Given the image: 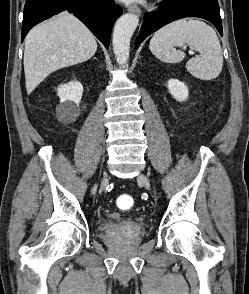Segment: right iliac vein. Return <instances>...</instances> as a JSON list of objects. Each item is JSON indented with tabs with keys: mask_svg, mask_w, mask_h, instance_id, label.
I'll list each match as a JSON object with an SVG mask.
<instances>
[{
	"mask_svg": "<svg viewBox=\"0 0 249 294\" xmlns=\"http://www.w3.org/2000/svg\"><path fill=\"white\" fill-rule=\"evenodd\" d=\"M107 182H108V176L106 175V176H104V178H103L102 189H104V187L106 186Z\"/></svg>",
	"mask_w": 249,
	"mask_h": 294,
	"instance_id": "right-iliac-vein-1",
	"label": "right iliac vein"
}]
</instances>
